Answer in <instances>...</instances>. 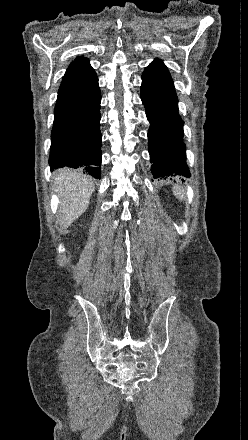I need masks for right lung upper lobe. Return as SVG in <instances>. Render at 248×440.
I'll use <instances>...</instances> for the list:
<instances>
[{"label": "right lung upper lobe", "instance_id": "cb5924a9", "mask_svg": "<svg viewBox=\"0 0 248 440\" xmlns=\"http://www.w3.org/2000/svg\"><path fill=\"white\" fill-rule=\"evenodd\" d=\"M96 78V73L90 66L89 60L78 57L68 67L58 93L81 88L90 84Z\"/></svg>", "mask_w": 248, "mask_h": 440}]
</instances>
